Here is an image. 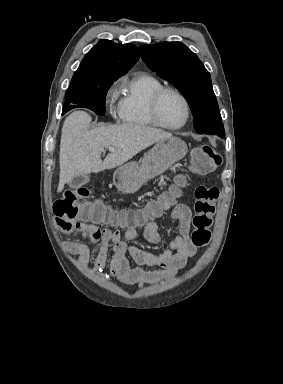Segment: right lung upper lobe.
I'll return each instance as SVG.
<instances>
[{
  "instance_id": "obj_1",
  "label": "right lung upper lobe",
  "mask_w": 283,
  "mask_h": 384,
  "mask_svg": "<svg viewBox=\"0 0 283 384\" xmlns=\"http://www.w3.org/2000/svg\"><path fill=\"white\" fill-rule=\"evenodd\" d=\"M138 59L135 45L102 39L82 60L69 89L113 83L126 74Z\"/></svg>"
}]
</instances>
